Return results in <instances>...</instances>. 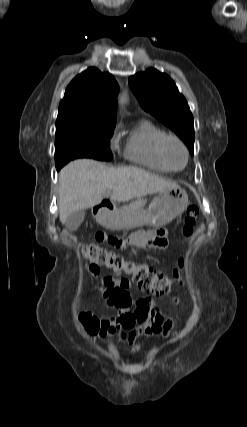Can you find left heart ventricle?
I'll use <instances>...</instances> for the list:
<instances>
[{"mask_svg": "<svg viewBox=\"0 0 247 427\" xmlns=\"http://www.w3.org/2000/svg\"><path fill=\"white\" fill-rule=\"evenodd\" d=\"M168 158L174 167H181L185 161L183 149L177 143H170L167 148Z\"/></svg>", "mask_w": 247, "mask_h": 427, "instance_id": "1", "label": "left heart ventricle"}]
</instances>
